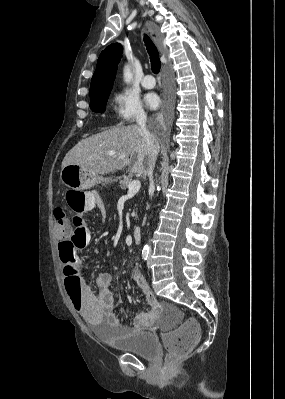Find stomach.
I'll return each mask as SVG.
<instances>
[{
    "instance_id": "stomach-1",
    "label": "stomach",
    "mask_w": 285,
    "mask_h": 399,
    "mask_svg": "<svg viewBox=\"0 0 285 399\" xmlns=\"http://www.w3.org/2000/svg\"><path fill=\"white\" fill-rule=\"evenodd\" d=\"M62 183L70 189L80 191L87 190L98 183H108L110 179L99 178L78 165H67L60 173Z\"/></svg>"
}]
</instances>
